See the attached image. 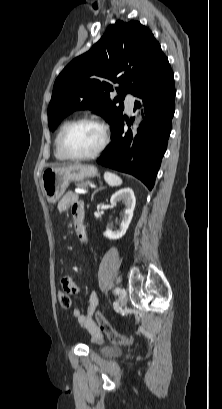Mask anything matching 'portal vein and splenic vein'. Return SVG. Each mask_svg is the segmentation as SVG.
Returning <instances> with one entry per match:
<instances>
[{"instance_id": "1", "label": "portal vein and splenic vein", "mask_w": 222, "mask_h": 409, "mask_svg": "<svg viewBox=\"0 0 222 409\" xmlns=\"http://www.w3.org/2000/svg\"><path fill=\"white\" fill-rule=\"evenodd\" d=\"M76 192L77 193H82V194L86 193V191H84V190H76Z\"/></svg>"}]
</instances>
